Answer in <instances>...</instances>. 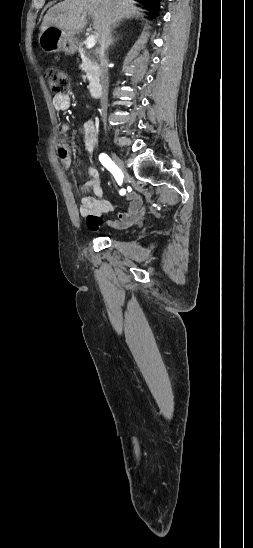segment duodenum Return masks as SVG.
<instances>
[{
	"label": "duodenum",
	"instance_id": "1",
	"mask_svg": "<svg viewBox=\"0 0 253 548\" xmlns=\"http://www.w3.org/2000/svg\"><path fill=\"white\" fill-rule=\"evenodd\" d=\"M101 88L98 86V85H94L92 88H91V95L92 97L94 98H99L101 96Z\"/></svg>",
	"mask_w": 253,
	"mask_h": 548
}]
</instances>
